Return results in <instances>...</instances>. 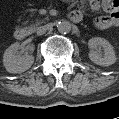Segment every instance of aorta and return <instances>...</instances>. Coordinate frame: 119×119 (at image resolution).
<instances>
[{
    "instance_id": "aorta-1",
    "label": "aorta",
    "mask_w": 119,
    "mask_h": 119,
    "mask_svg": "<svg viewBox=\"0 0 119 119\" xmlns=\"http://www.w3.org/2000/svg\"><path fill=\"white\" fill-rule=\"evenodd\" d=\"M57 28L60 33L66 34L71 31L72 26L69 21H62L58 23Z\"/></svg>"
}]
</instances>
